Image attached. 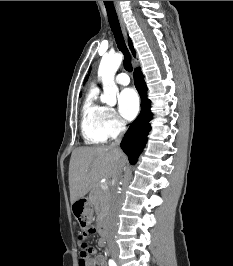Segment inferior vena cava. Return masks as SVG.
Segmentation results:
<instances>
[{
    "mask_svg": "<svg viewBox=\"0 0 233 266\" xmlns=\"http://www.w3.org/2000/svg\"><path fill=\"white\" fill-rule=\"evenodd\" d=\"M126 130L125 124L122 123L120 127L121 134L119 138L115 141V143H112L113 147H117L121 140H122V133ZM117 180V179H116ZM118 184L116 183L115 187L112 190V202H111V210H110V216H109V222H108V231H109V237L112 238L114 235L116 229H117V224H118V212L120 209L121 205V199L118 194L117 190Z\"/></svg>",
    "mask_w": 233,
    "mask_h": 266,
    "instance_id": "obj_1",
    "label": "inferior vena cava"
}]
</instances>
